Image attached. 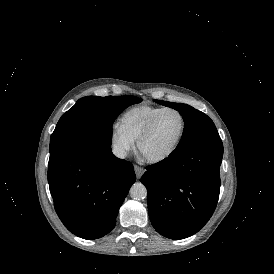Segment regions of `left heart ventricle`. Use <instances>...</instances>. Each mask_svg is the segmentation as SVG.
<instances>
[{
  "mask_svg": "<svg viewBox=\"0 0 274 274\" xmlns=\"http://www.w3.org/2000/svg\"><path fill=\"white\" fill-rule=\"evenodd\" d=\"M182 120L176 112H166L152 132L142 142L140 153L145 158H159L173 146L181 129Z\"/></svg>",
  "mask_w": 274,
  "mask_h": 274,
  "instance_id": "b2bd125f",
  "label": "left heart ventricle"
}]
</instances>
